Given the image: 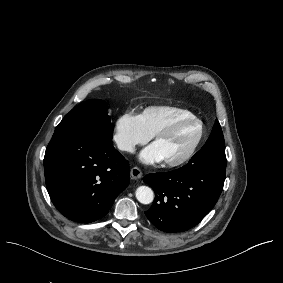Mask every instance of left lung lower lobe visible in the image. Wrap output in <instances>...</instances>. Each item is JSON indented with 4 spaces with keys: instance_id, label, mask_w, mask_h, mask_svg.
<instances>
[{
    "instance_id": "1",
    "label": "left lung lower lobe",
    "mask_w": 283,
    "mask_h": 283,
    "mask_svg": "<svg viewBox=\"0 0 283 283\" xmlns=\"http://www.w3.org/2000/svg\"><path fill=\"white\" fill-rule=\"evenodd\" d=\"M225 147L204 145L180 169L148 174L144 182L155 192L145 215L157 229L175 233L197 225L214 207L223 190Z\"/></svg>"
}]
</instances>
